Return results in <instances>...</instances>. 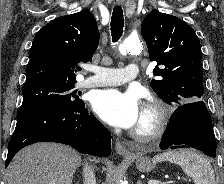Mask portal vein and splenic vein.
<instances>
[{
  "label": "portal vein and splenic vein",
  "instance_id": "obj_1",
  "mask_svg": "<svg viewBox=\"0 0 224 184\" xmlns=\"http://www.w3.org/2000/svg\"><path fill=\"white\" fill-rule=\"evenodd\" d=\"M148 184H167V183H164V182H161V181H158V180H149Z\"/></svg>",
  "mask_w": 224,
  "mask_h": 184
}]
</instances>
